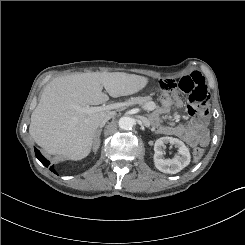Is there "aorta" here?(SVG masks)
<instances>
[{"mask_svg": "<svg viewBox=\"0 0 245 245\" xmlns=\"http://www.w3.org/2000/svg\"><path fill=\"white\" fill-rule=\"evenodd\" d=\"M134 124L135 120L128 116H123L118 121V125L122 130H131Z\"/></svg>", "mask_w": 245, "mask_h": 245, "instance_id": "762f6f07", "label": "aorta"}]
</instances>
